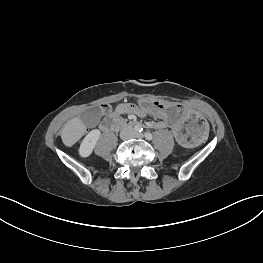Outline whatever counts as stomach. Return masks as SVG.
I'll return each mask as SVG.
<instances>
[{
	"label": "stomach",
	"instance_id": "1",
	"mask_svg": "<svg viewBox=\"0 0 263 263\" xmlns=\"http://www.w3.org/2000/svg\"><path fill=\"white\" fill-rule=\"evenodd\" d=\"M142 112L171 129L174 139L188 150L196 149L207 137L208 121L179 103L141 100Z\"/></svg>",
	"mask_w": 263,
	"mask_h": 263
}]
</instances>
